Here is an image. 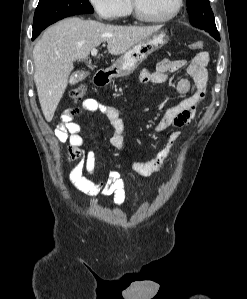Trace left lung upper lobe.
Returning a JSON list of instances; mask_svg holds the SVG:
<instances>
[{"label": "left lung upper lobe", "instance_id": "5c2ea615", "mask_svg": "<svg viewBox=\"0 0 247 299\" xmlns=\"http://www.w3.org/2000/svg\"><path fill=\"white\" fill-rule=\"evenodd\" d=\"M187 11L192 26L219 34L209 0H187Z\"/></svg>", "mask_w": 247, "mask_h": 299}]
</instances>
